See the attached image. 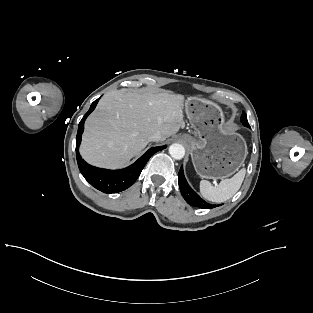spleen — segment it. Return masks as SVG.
I'll list each match as a JSON object with an SVG mask.
<instances>
[{
    "instance_id": "1",
    "label": "spleen",
    "mask_w": 313,
    "mask_h": 313,
    "mask_svg": "<svg viewBox=\"0 0 313 313\" xmlns=\"http://www.w3.org/2000/svg\"><path fill=\"white\" fill-rule=\"evenodd\" d=\"M246 174L242 168L232 178L222 180L218 185L213 186L209 181H200V193L203 198L216 203L230 199L241 187Z\"/></svg>"
}]
</instances>
